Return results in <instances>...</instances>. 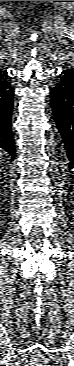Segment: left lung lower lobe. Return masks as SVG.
Listing matches in <instances>:
<instances>
[{"label":"left lung lower lobe","mask_w":74,"mask_h":366,"mask_svg":"<svg viewBox=\"0 0 74 366\" xmlns=\"http://www.w3.org/2000/svg\"><path fill=\"white\" fill-rule=\"evenodd\" d=\"M51 107L68 156V171L74 168V68L59 75L51 90Z\"/></svg>","instance_id":"obj_1"}]
</instances>
